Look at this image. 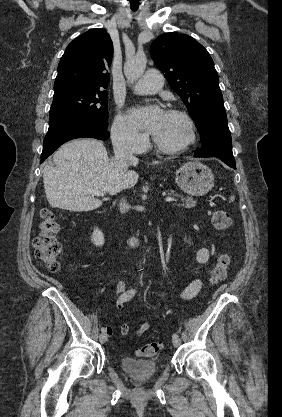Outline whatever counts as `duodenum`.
<instances>
[{
  "label": "duodenum",
  "mask_w": 282,
  "mask_h": 417,
  "mask_svg": "<svg viewBox=\"0 0 282 417\" xmlns=\"http://www.w3.org/2000/svg\"><path fill=\"white\" fill-rule=\"evenodd\" d=\"M128 240H130V241H136L137 240V237H134V236H131V237H128Z\"/></svg>",
  "instance_id": "1"
}]
</instances>
